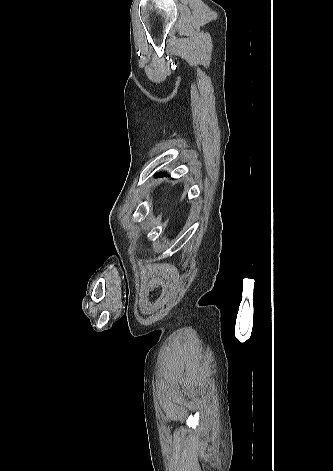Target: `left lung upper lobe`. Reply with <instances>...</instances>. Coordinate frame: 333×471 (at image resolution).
<instances>
[{
  "instance_id": "1",
  "label": "left lung upper lobe",
  "mask_w": 333,
  "mask_h": 471,
  "mask_svg": "<svg viewBox=\"0 0 333 471\" xmlns=\"http://www.w3.org/2000/svg\"><path fill=\"white\" fill-rule=\"evenodd\" d=\"M163 175H165V174L164 173H159V176H163Z\"/></svg>"
}]
</instances>
